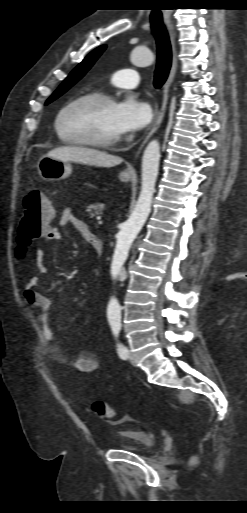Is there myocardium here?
I'll return each mask as SVG.
<instances>
[{
    "instance_id": "myocardium-1",
    "label": "myocardium",
    "mask_w": 247,
    "mask_h": 513,
    "mask_svg": "<svg viewBox=\"0 0 247 513\" xmlns=\"http://www.w3.org/2000/svg\"><path fill=\"white\" fill-rule=\"evenodd\" d=\"M79 103H100V104H106V103H115V100L112 96L103 94V93H87L81 96H78L77 98L73 99L72 101L65 104L58 112L56 119H55V129L58 133V135L66 139L68 143L76 144V145H84V146H93V147H99V148H110L120 143L121 137H117L110 140H95V139H89V138H68L64 136L62 130H61V120L64 116V114L74 105Z\"/></svg>"
}]
</instances>
